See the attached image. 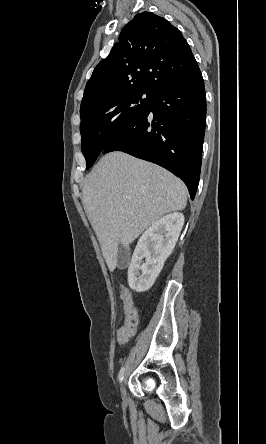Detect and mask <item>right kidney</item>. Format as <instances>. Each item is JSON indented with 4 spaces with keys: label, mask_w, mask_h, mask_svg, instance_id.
Masks as SVG:
<instances>
[{
    "label": "right kidney",
    "mask_w": 266,
    "mask_h": 444,
    "mask_svg": "<svg viewBox=\"0 0 266 444\" xmlns=\"http://www.w3.org/2000/svg\"><path fill=\"white\" fill-rule=\"evenodd\" d=\"M183 225L184 215L175 212L160 218L142 234L128 268V284L132 290L145 292L152 287L174 249Z\"/></svg>",
    "instance_id": "ca27d5eb"
}]
</instances>
